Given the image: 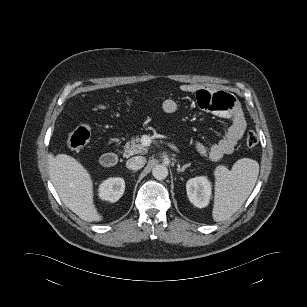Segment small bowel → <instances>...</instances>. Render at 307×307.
I'll return each instance as SVG.
<instances>
[{"instance_id": "obj_1", "label": "small bowel", "mask_w": 307, "mask_h": 307, "mask_svg": "<svg viewBox=\"0 0 307 307\" xmlns=\"http://www.w3.org/2000/svg\"><path fill=\"white\" fill-rule=\"evenodd\" d=\"M180 90L186 94H195L201 108L210 110L216 116L230 121V126L224 137L209 147L197 143V151L212 161H217L224 155L232 153L246 129V121L237 106L236 99L227 92H211L197 84H183ZM177 108L178 104L174 99H166L162 103L163 111L168 114L176 112Z\"/></svg>"}]
</instances>
